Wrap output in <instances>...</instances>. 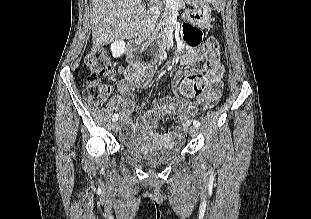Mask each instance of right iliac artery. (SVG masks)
<instances>
[{
  "label": "right iliac artery",
  "instance_id": "right-iliac-artery-1",
  "mask_svg": "<svg viewBox=\"0 0 311 219\" xmlns=\"http://www.w3.org/2000/svg\"><path fill=\"white\" fill-rule=\"evenodd\" d=\"M118 117H119L118 114H114L112 120L115 122L118 120Z\"/></svg>",
  "mask_w": 311,
  "mask_h": 219
}]
</instances>
